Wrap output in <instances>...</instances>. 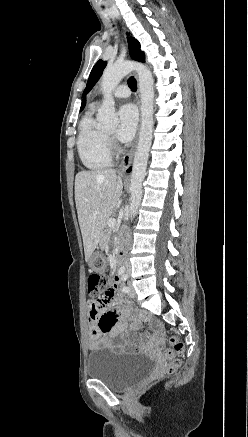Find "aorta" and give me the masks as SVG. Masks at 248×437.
Instances as JSON below:
<instances>
[{
    "instance_id": "aorta-1",
    "label": "aorta",
    "mask_w": 248,
    "mask_h": 437,
    "mask_svg": "<svg viewBox=\"0 0 248 437\" xmlns=\"http://www.w3.org/2000/svg\"><path fill=\"white\" fill-rule=\"evenodd\" d=\"M136 71L139 78V88L141 95V127L139 141L134 156L130 186V218L137 215L138 207L142 200V183L146 175V167L153 138L154 127V80L150 70L141 63L130 61L117 62L113 66L105 69L101 88L104 100L97 114V120L107 127H116L118 117L115 113V103L112 91L120 81L130 72Z\"/></svg>"
}]
</instances>
